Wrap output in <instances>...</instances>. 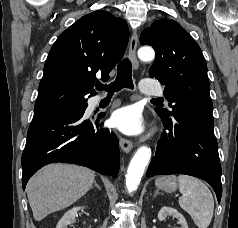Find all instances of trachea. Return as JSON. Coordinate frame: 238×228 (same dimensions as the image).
I'll return each instance as SVG.
<instances>
[{"instance_id":"obj_1","label":"trachea","mask_w":238,"mask_h":228,"mask_svg":"<svg viewBox=\"0 0 238 228\" xmlns=\"http://www.w3.org/2000/svg\"><path fill=\"white\" fill-rule=\"evenodd\" d=\"M122 88H133L132 82V64L128 59H123L117 67V77L109 85L96 84V89L106 90L109 94L118 92ZM158 100V99H154Z\"/></svg>"}]
</instances>
